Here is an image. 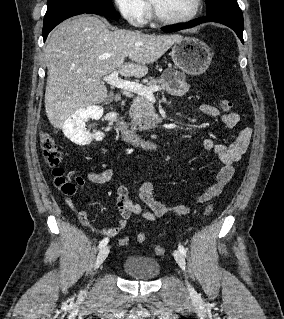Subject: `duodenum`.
<instances>
[{
  "instance_id": "obj_1",
  "label": "duodenum",
  "mask_w": 284,
  "mask_h": 319,
  "mask_svg": "<svg viewBox=\"0 0 284 319\" xmlns=\"http://www.w3.org/2000/svg\"><path fill=\"white\" fill-rule=\"evenodd\" d=\"M117 128L121 132L123 140L130 145L142 147L148 150H156L158 148V144L156 142L147 140L139 136L123 120H119L117 122Z\"/></svg>"
}]
</instances>
